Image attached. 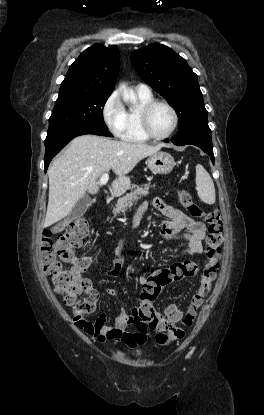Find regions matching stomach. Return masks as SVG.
<instances>
[{
  "label": "stomach",
  "mask_w": 264,
  "mask_h": 415,
  "mask_svg": "<svg viewBox=\"0 0 264 415\" xmlns=\"http://www.w3.org/2000/svg\"><path fill=\"white\" fill-rule=\"evenodd\" d=\"M147 164L154 174H168L172 171L175 161L169 153L158 151L148 157Z\"/></svg>",
  "instance_id": "stomach-1"
}]
</instances>
